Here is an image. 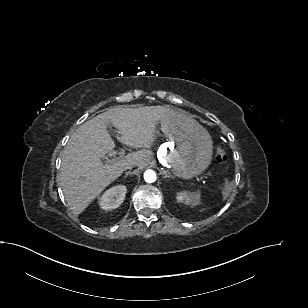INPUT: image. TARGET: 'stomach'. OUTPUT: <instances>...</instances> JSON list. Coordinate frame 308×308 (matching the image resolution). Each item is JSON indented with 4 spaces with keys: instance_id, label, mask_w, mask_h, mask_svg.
<instances>
[{
    "instance_id": "1",
    "label": "stomach",
    "mask_w": 308,
    "mask_h": 308,
    "mask_svg": "<svg viewBox=\"0 0 308 308\" xmlns=\"http://www.w3.org/2000/svg\"><path fill=\"white\" fill-rule=\"evenodd\" d=\"M161 130L168 141L176 145L167 156L174 173L184 179L203 172L212 159V139L188 113L173 110L160 120Z\"/></svg>"
}]
</instances>
